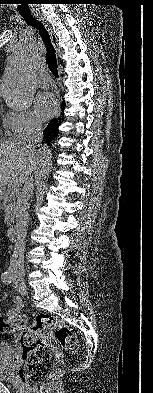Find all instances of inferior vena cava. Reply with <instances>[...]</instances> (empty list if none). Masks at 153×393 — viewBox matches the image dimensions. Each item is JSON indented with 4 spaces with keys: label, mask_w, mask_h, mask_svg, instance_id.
Listing matches in <instances>:
<instances>
[{
    "label": "inferior vena cava",
    "mask_w": 153,
    "mask_h": 393,
    "mask_svg": "<svg viewBox=\"0 0 153 393\" xmlns=\"http://www.w3.org/2000/svg\"><path fill=\"white\" fill-rule=\"evenodd\" d=\"M43 133L42 127L38 123H32L26 139L23 143L25 149L32 154H35V148L42 142ZM34 191V182L32 177L24 182L23 189L18 195L15 216H16V231L17 241L15 243L14 251L10 259L9 271L11 274L24 275V251L25 239L27 235L29 214H28V201Z\"/></svg>",
    "instance_id": "obj_1"
}]
</instances>
